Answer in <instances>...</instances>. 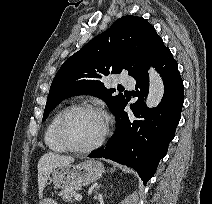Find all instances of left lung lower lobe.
Masks as SVG:
<instances>
[{
    "instance_id": "1",
    "label": "left lung lower lobe",
    "mask_w": 212,
    "mask_h": 204,
    "mask_svg": "<svg viewBox=\"0 0 212 204\" xmlns=\"http://www.w3.org/2000/svg\"><path fill=\"white\" fill-rule=\"evenodd\" d=\"M160 73L164 82V97L156 108H148L149 79L147 68L135 77L138 100L131 104L134 116H128L124 103L114 112L116 131L104 148L92 152L90 158H106L133 168L146 185L174 138L184 102L183 81L178 65L166 48L150 64Z\"/></svg>"
}]
</instances>
